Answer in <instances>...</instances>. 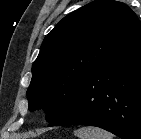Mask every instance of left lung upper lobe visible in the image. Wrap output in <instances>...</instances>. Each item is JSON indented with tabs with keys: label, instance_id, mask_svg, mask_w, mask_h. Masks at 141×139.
Segmentation results:
<instances>
[{
	"label": "left lung upper lobe",
	"instance_id": "left-lung-upper-lobe-1",
	"mask_svg": "<svg viewBox=\"0 0 141 139\" xmlns=\"http://www.w3.org/2000/svg\"><path fill=\"white\" fill-rule=\"evenodd\" d=\"M141 31L124 3L96 0L64 17L45 37L32 66L28 109L46 110L54 120L86 78Z\"/></svg>",
	"mask_w": 141,
	"mask_h": 139
}]
</instances>
